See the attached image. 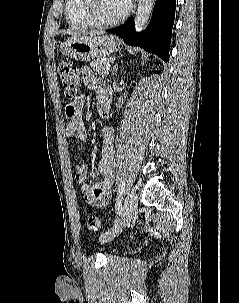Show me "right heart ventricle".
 Here are the masks:
<instances>
[{"mask_svg": "<svg viewBox=\"0 0 239 303\" xmlns=\"http://www.w3.org/2000/svg\"><path fill=\"white\" fill-rule=\"evenodd\" d=\"M85 0H66L65 16L68 24L78 30L89 29L94 26L84 10Z\"/></svg>", "mask_w": 239, "mask_h": 303, "instance_id": "e07e8e85", "label": "right heart ventricle"}]
</instances>
